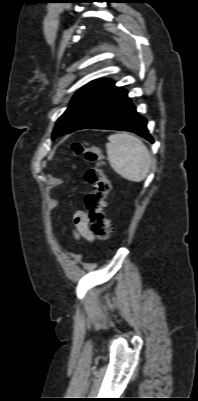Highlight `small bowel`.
I'll list each match as a JSON object with an SVG mask.
<instances>
[{
  "label": "small bowel",
  "instance_id": "small-bowel-1",
  "mask_svg": "<svg viewBox=\"0 0 198 401\" xmlns=\"http://www.w3.org/2000/svg\"><path fill=\"white\" fill-rule=\"evenodd\" d=\"M74 230L73 234L75 238H84L87 240H93L94 236L89 228V220L86 211L78 210L75 212L73 217Z\"/></svg>",
  "mask_w": 198,
  "mask_h": 401
}]
</instances>
